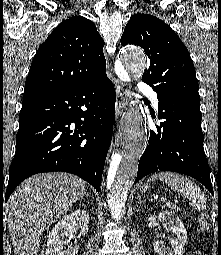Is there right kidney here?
Listing matches in <instances>:
<instances>
[{
	"label": "right kidney",
	"mask_w": 221,
	"mask_h": 255,
	"mask_svg": "<svg viewBox=\"0 0 221 255\" xmlns=\"http://www.w3.org/2000/svg\"><path fill=\"white\" fill-rule=\"evenodd\" d=\"M89 214L86 210H75L71 214L63 216L53 227L48 236L46 255H77L79 247H68L65 250V237L71 236L77 228L81 234L88 232Z\"/></svg>",
	"instance_id": "ca27d5eb"
}]
</instances>
